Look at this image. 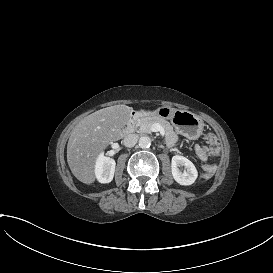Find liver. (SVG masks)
Masks as SVG:
<instances>
[{"label": "liver", "mask_w": 273, "mask_h": 273, "mask_svg": "<svg viewBox=\"0 0 273 273\" xmlns=\"http://www.w3.org/2000/svg\"><path fill=\"white\" fill-rule=\"evenodd\" d=\"M133 115V107L114 105L95 111L74 127L67 144V163L78 181L86 185L96 181L99 158L112 142L123 138L122 128Z\"/></svg>", "instance_id": "liver-1"}]
</instances>
